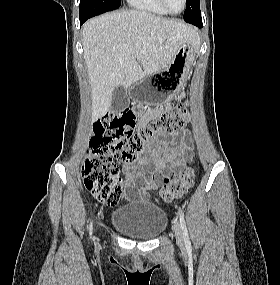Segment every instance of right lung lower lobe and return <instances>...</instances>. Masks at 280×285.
I'll return each mask as SVG.
<instances>
[{"label": "right lung lower lobe", "mask_w": 280, "mask_h": 285, "mask_svg": "<svg viewBox=\"0 0 280 285\" xmlns=\"http://www.w3.org/2000/svg\"><path fill=\"white\" fill-rule=\"evenodd\" d=\"M80 19V23H84L87 19H83V18H79Z\"/></svg>", "instance_id": "1"}]
</instances>
